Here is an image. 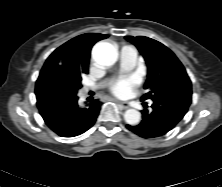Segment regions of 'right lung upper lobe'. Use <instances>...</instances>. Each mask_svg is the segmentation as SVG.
I'll use <instances>...</instances> for the list:
<instances>
[{
	"mask_svg": "<svg viewBox=\"0 0 222 187\" xmlns=\"http://www.w3.org/2000/svg\"><path fill=\"white\" fill-rule=\"evenodd\" d=\"M107 37L108 35L100 33H86L69 40L48 57L42 70L50 68L57 70L58 65H71L88 72L92 46Z\"/></svg>",
	"mask_w": 222,
	"mask_h": 187,
	"instance_id": "cb5924a9",
	"label": "right lung upper lobe"
}]
</instances>
